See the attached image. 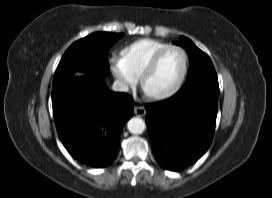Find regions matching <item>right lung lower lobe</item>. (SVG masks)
<instances>
[{
	"label": "right lung lower lobe",
	"mask_w": 272,
	"mask_h": 198,
	"mask_svg": "<svg viewBox=\"0 0 272 198\" xmlns=\"http://www.w3.org/2000/svg\"><path fill=\"white\" fill-rule=\"evenodd\" d=\"M59 138L78 161L102 168L118 152L121 132L133 114V98L107 89L102 76L77 80L73 75L52 87Z\"/></svg>",
	"instance_id": "1"
}]
</instances>
